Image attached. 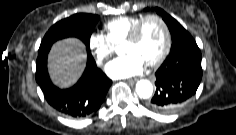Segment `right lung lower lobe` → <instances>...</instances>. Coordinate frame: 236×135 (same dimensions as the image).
Returning a JSON list of instances; mask_svg holds the SVG:
<instances>
[{"label":"right lung lower lobe","mask_w":236,"mask_h":135,"mask_svg":"<svg viewBox=\"0 0 236 135\" xmlns=\"http://www.w3.org/2000/svg\"><path fill=\"white\" fill-rule=\"evenodd\" d=\"M48 52L39 53L36 65V81L48 104L72 118H84L97 112L112 81L96 66L91 53L87 52V66L80 80L69 89H59L49 78Z\"/></svg>","instance_id":"obj_1"}]
</instances>
